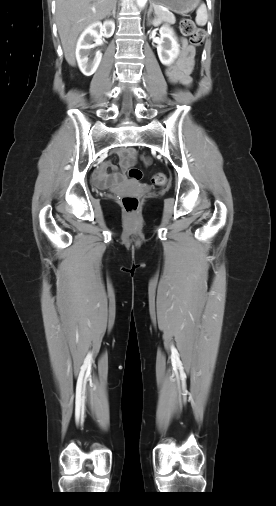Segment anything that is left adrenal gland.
<instances>
[{
    "mask_svg": "<svg viewBox=\"0 0 276 506\" xmlns=\"http://www.w3.org/2000/svg\"><path fill=\"white\" fill-rule=\"evenodd\" d=\"M152 7H153V6L151 5V6H150V9H149V13H151V12H152Z\"/></svg>",
    "mask_w": 276,
    "mask_h": 506,
    "instance_id": "1",
    "label": "left adrenal gland"
}]
</instances>
